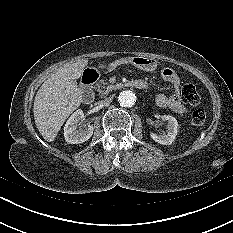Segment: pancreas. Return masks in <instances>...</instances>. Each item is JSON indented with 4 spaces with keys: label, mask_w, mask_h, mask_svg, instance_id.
Segmentation results:
<instances>
[{
    "label": "pancreas",
    "mask_w": 233,
    "mask_h": 233,
    "mask_svg": "<svg viewBox=\"0 0 233 233\" xmlns=\"http://www.w3.org/2000/svg\"><path fill=\"white\" fill-rule=\"evenodd\" d=\"M96 90L99 93L100 97H105L109 94L110 91L114 89L113 85H110L109 83L105 82L104 80H100L96 84Z\"/></svg>",
    "instance_id": "1"
}]
</instances>
